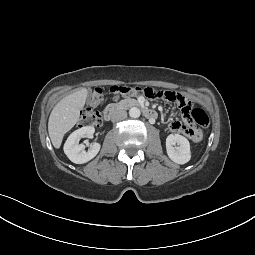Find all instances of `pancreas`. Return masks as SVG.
Instances as JSON below:
<instances>
[{
  "instance_id": "obj_1",
  "label": "pancreas",
  "mask_w": 255,
  "mask_h": 255,
  "mask_svg": "<svg viewBox=\"0 0 255 255\" xmlns=\"http://www.w3.org/2000/svg\"><path fill=\"white\" fill-rule=\"evenodd\" d=\"M130 103L136 104L137 101H136V100H132V99H125V100H121V101L119 102V105L124 106V105L130 104Z\"/></svg>"
}]
</instances>
